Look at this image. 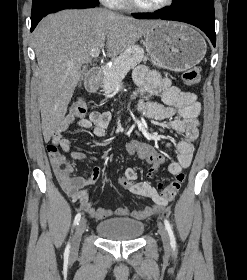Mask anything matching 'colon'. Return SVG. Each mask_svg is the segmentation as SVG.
<instances>
[{
	"label": "colon",
	"mask_w": 247,
	"mask_h": 280,
	"mask_svg": "<svg viewBox=\"0 0 247 280\" xmlns=\"http://www.w3.org/2000/svg\"><path fill=\"white\" fill-rule=\"evenodd\" d=\"M200 72L201 70L199 67L187 69L182 75L184 83L188 86L198 84L200 82ZM86 112L87 103L84 99L79 98L72 103V115L82 117L86 114ZM125 150L128 154L144 159L155 167H158L164 162V157L158 153L157 148L154 147L152 143H146L145 140L139 139L137 136H132L130 138V141L125 145ZM47 151L50 157L52 168L57 177L68 178L72 176V165L62 154L59 153L58 149L53 145H49L47 147ZM129 176H131V174H129ZM183 180L184 174L182 172L176 174L172 182L161 188V194L163 198L167 201L173 200L176 197ZM117 183L122 185L124 188H131L133 186V181L128 179L127 176H119L117 178Z\"/></svg>",
	"instance_id": "5ec220e1"
}]
</instances>
